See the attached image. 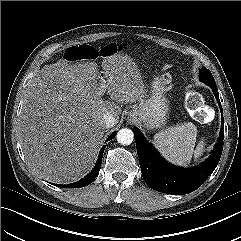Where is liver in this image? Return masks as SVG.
<instances>
[{
	"label": "liver",
	"instance_id": "obj_1",
	"mask_svg": "<svg viewBox=\"0 0 241 241\" xmlns=\"http://www.w3.org/2000/svg\"><path fill=\"white\" fill-rule=\"evenodd\" d=\"M97 67L95 62L62 59L45 65L27 88L20 142L28 167L44 180L68 184L86 176L104 135L102 116L109 112L118 122L120 104L146 95L140 71L128 55L106 57L103 76ZM106 92L109 100L102 98Z\"/></svg>",
	"mask_w": 241,
	"mask_h": 241
}]
</instances>
